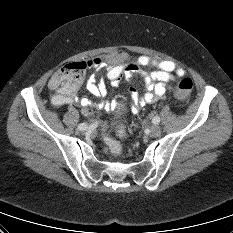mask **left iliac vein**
Returning <instances> with one entry per match:
<instances>
[{
    "label": "left iliac vein",
    "instance_id": "4c4485c4",
    "mask_svg": "<svg viewBox=\"0 0 233 233\" xmlns=\"http://www.w3.org/2000/svg\"><path fill=\"white\" fill-rule=\"evenodd\" d=\"M161 134V128L159 125H152L150 127V136L157 137Z\"/></svg>",
    "mask_w": 233,
    "mask_h": 233
}]
</instances>
